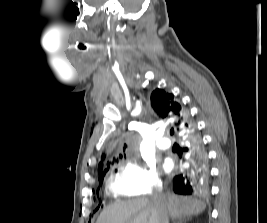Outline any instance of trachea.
<instances>
[{
    "mask_svg": "<svg viewBox=\"0 0 267 223\" xmlns=\"http://www.w3.org/2000/svg\"><path fill=\"white\" fill-rule=\"evenodd\" d=\"M173 134H174V130L171 129V130H170V135L172 136Z\"/></svg>",
    "mask_w": 267,
    "mask_h": 223,
    "instance_id": "1",
    "label": "trachea"
}]
</instances>
